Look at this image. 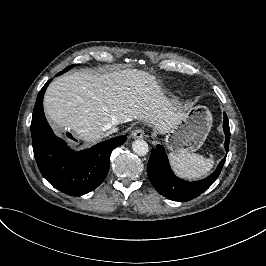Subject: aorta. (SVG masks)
<instances>
[{"label":"aorta","mask_w":266,"mask_h":266,"mask_svg":"<svg viewBox=\"0 0 266 266\" xmlns=\"http://www.w3.org/2000/svg\"><path fill=\"white\" fill-rule=\"evenodd\" d=\"M132 150L139 156H146L149 151V145L144 140H135L132 144Z\"/></svg>","instance_id":"762f6f07"}]
</instances>
